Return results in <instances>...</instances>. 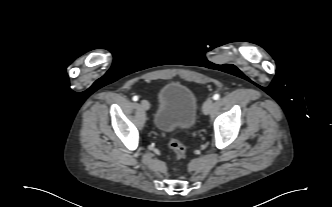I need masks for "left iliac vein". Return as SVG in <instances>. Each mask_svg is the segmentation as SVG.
I'll list each match as a JSON object with an SVG mask.
<instances>
[{
    "label": "left iliac vein",
    "instance_id": "left-iliac-vein-1",
    "mask_svg": "<svg viewBox=\"0 0 332 207\" xmlns=\"http://www.w3.org/2000/svg\"><path fill=\"white\" fill-rule=\"evenodd\" d=\"M213 104H214V102H213V100L212 99H207L205 102H204V104H203V113L205 114V115H207V114H209L210 113V111H211V109H212V107H213Z\"/></svg>",
    "mask_w": 332,
    "mask_h": 207
}]
</instances>
